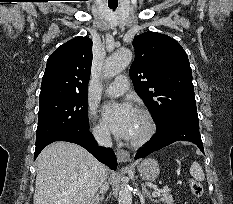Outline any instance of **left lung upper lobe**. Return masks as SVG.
Instances as JSON below:
<instances>
[{"label":"left lung upper lobe","instance_id":"obj_1","mask_svg":"<svg viewBox=\"0 0 233 204\" xmlns=\"http://www.w3.org/2000/svg\"><path fill=\"white\" fill-rule=\"evenodd\" d=\"M133 46L130 77L155 123L198 119L191 67L181 45L167 35L145 32L133 39Z\"/></svg>","mask_w":233,"mask_h":204}]
</instances>
